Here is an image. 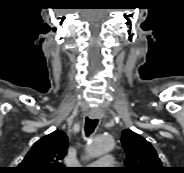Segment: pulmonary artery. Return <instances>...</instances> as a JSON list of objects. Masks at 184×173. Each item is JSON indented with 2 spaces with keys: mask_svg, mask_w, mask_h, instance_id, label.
<instances>
[{
  "mask_svg": "<svg viewBox=\"0 0 184 173\" xmlns=\"http://www.w3.org/2000/svg\"><path fill=\"white\" fill-rule=\"evenodd\" d=\"M114 159L112 156H104L98 162L91 165V169H97L98 167L109 168L114 165Z\"/></svg>",
  "mask_w": 184,
  "mask_h": 173,
  "instance_id": "e3ab8cb5",
  "label": "pulmonary artery"
}]
</instances>
